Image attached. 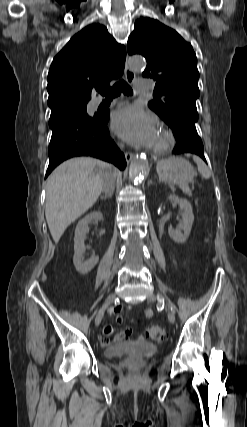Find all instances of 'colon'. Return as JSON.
<instances>
[{
	"label": "colon",
	"mask_w": 247,
	"mask_h": 427,
	"mask_svg": "<svg viewBox=\"0 0 247 427\" xmlns=\"http://www.w3.org/2000/svg\"><path fill=\"white\" fill-rule=\"evenodd\" d=\"M147 335L153 340L160 341L165 336V330L159 325H150L147 328Z\"/></svg>",
	"instance_id": "5ec220e1"
}]
</instances>
